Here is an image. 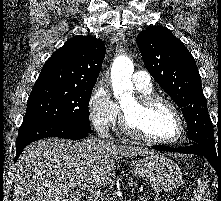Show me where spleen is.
Masks as SVG:
<instances>
[{
  "mask_svg": "<svg viewBox=\"0 0 221 201\" xmlns=\"http://www.w3.org/2000/svg\"><path fill=\"white\" fill-rule=\"evenodd\" d=\"M191 201H211L206 182L199 178L197 188L193 191Z\"/></svg>",
  "mask_w": 221,
  "mask_h": 201,
  "instance_id": "spleen-1",
  "label": "spleen"
}]
</instances>
